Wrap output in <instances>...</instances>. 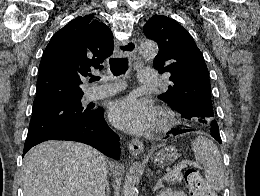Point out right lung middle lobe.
Here are the masks:
<instances>
[{
	"mask_svg": "<svg viewBox=\"0 0 260 196\" xmlns=\"http://www.w3.org/2000/svg\"><path fill=\"white\" fill-rule=\"evenodd\" d=\"M82 95L62 97L33 105L27 139L36 135L78 125L89 120L94 111L84 108Z\"/></svg>",
	"mask_w": 260,
	"mask_h": 196,
	"instance_id": "obj_1",
	"label": "right lung middle lobe"
}]
</instances>
